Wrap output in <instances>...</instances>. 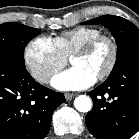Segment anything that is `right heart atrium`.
Returning <instances> with one entry per match:
<instances>
[{"label":"right heart atrium","mask_w":139,"mask_h":139,"mask_svg":"<svg viewBox=\"0 0 139 139\" xmlns=\"http://www.w3.org/2000/svg\"><path fill=\"white\" fill-rule=\"evenodd\" d=\"M23 56L30 74L40 83H48L66 63V58L52 39L43 36L31 40L26 45Z\"/></svg>","instance_id":"right-heart-atrium-1"}]
</instances>
